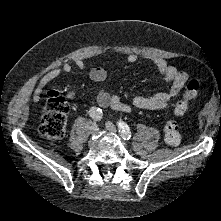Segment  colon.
I'll list each match as a JSON object with an SVG mask.
<instances>
[{
    "instance_id": "obj_1",
    "label": "colon",
    "mask_w": 221,
    "mask_h": 221,
    "mask_svg": "<svg viewBox=\"0 0 221 221\" xmlns=\"http://www.w3.org/2000/svg\"><path fill=\"white\" fill-rule=\"evenodd\" d=\"M200 81L190 80L184 91L183 98L175 106V115L182 116L188 103L200 91ZM69 106L66 99L58 91H50L42 110L39 133L48 142L55 143L63 138L67 124ZM164 138L167 144L176 146L181 141V129L175 119H170L164 126Z\"/></svg>"
}]
</instances>
